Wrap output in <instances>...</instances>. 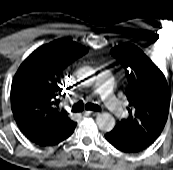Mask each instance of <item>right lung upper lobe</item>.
Instances as JSON below:
<instances>
[{
	"label": "right lung upper lobe",
	"mask_w": 173,
	"mask_h": 170,
	"mask_svg": "<svg viewBox=\"0 0 173 170\" xmlns=\"http://www.w3.org/2000/svg\"><path fill=\"white\" fill-rule=\"evenodd\" d=\"M86 47L57 39L37 48L20 65L11 86V108L22 133L32 142L51 138L74 125L58 107L60 76Z\"/></svg>",
	"instance_id": "1"
}]
</instances>
